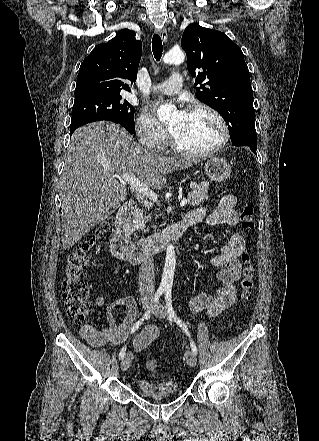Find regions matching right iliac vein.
I'll use <instances>...</instances> for the list:
<instances>
[{"label":"right iliac vein","instance_id":"63e3f726","mask_svg":"<svg viewBox=\"0 0 319 441\" xmlns=\"http://www.w3.org/2000/svg\"><path fill=\"white\" fill-rule=\"evenodd\" d=\"M148 306H149V301L148 300L143 301V308L146 309L148 308ZM132 359H133V355L131 352H128L124 356V358L121 361V369L123 371H126L130 367Z\"/></svg>","mask_w":319,"mask_h":441}]
</instances>
